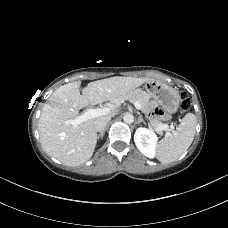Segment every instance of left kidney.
Wrapping results in <instances>:
<instances>
[{"instance_id": "left-kidney-1", "label": "left kidney", "mask_w": 228, "mask_h": 228, "mask_svg": "<svg viewBox=\"0 0 228 228\" xmlns=\"http://www.w3.org/2000/svg\"><path fill=\"white\" fill-rule=\"evenodd\" d=\"M158 137L147 128L139 127L134 134V142L139 151L148 158L156 156Z\"/></svg>"}]
</instances>
